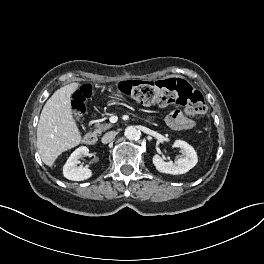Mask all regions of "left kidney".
<instances>
[{"instance_id": "5707ae66", "label": "left kidney", "mask_w": 264, "mask_h": 264, "mask_svg": "<svg viewBox=\"0 0 264 264\" xmlns=\"http://www.w3.org/2000/svg\"><path fill=\"white\" fill-rule=\"evenodd\" d=\"M173 146L181 148L184 151V157L173 163L172 161L165 162L158 154H155L152 158L153 164L161 173L184 174L197 164V154L194 148L183 140L174 141Z\"/></svg>"}]
</instances>
